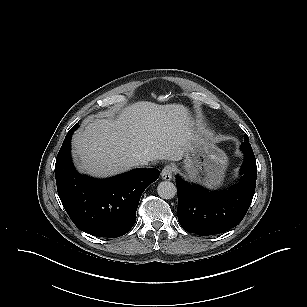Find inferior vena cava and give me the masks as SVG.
<instances>
[{"label": "inferior vena cava", "mask_w": 307, "mask_h": 307, "mask_svg": "<svg viewBox=\"0 0 307 307\" xmlns=\"http://www.w3.org/2000/svg\"><path fill=\"white\" fill-rule=\"evenodd\" d=\"M135 166H146L148 162L146 160L140 159L134 163Z\"/></svg>", "instance_id": "obj_1"}]
</instances>
